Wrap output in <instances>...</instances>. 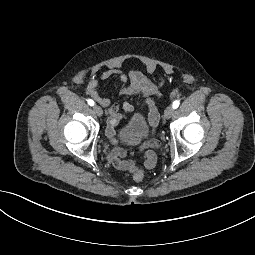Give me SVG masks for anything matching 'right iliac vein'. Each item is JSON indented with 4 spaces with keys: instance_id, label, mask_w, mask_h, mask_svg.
<instances>
[{
    "instance_id": "1",
    "label": "right iliac vein",
    "mask_w": 255,
    "mask_h": 255,
    "mask_svg": "<svg viewBox=\"0 0 255 255\" xmlns=\"http://www.w3.org/2000/svg\"><path fill=\"white\" fill-rule=\"evenodd\" d=\"M93 111L99 117L102 116V114H103L102 108L100 106H98V105L93 106Z\"/></svg>"
}]
</instances>
